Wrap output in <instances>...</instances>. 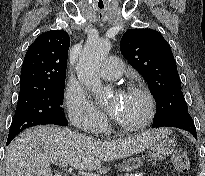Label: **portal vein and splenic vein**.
<instances>
[{"label": "portal vein and splenic vein", "instance_id": "obj_1", "mask_svg": "<svg viewBox=\"0 0 205 176\" xmlns=\"http://www.w3.org/2000/svg\"><path fill=\"white\" fill-rule=\"evenodd\" d=\"M59 165H60L61 168H67L68 163L63 161V162L59 163Z\"/></svg>", "mask_w": 205, "mask_h": 176}]
</instances>
